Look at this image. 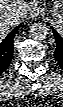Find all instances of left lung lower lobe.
Wrapping results in <instances>:
<instances>
[{
	"mask_svg": "<svg viewBox=\"0 0 63 107\" xmlns=\"http://www.w3.org/2000/svg\"><path fill=\"white\" fill-rule=\"evenodd\" d=\"M56 40V49L54 57L59 66L63 69V38L52 28Z\"/></svg>",
	"mask_w": 63,
	"mask_h": 107,
	"instance_id": "left-lung-lower-lobe-1",
	"label": "left lung lower lobe"
}]
</instances>
